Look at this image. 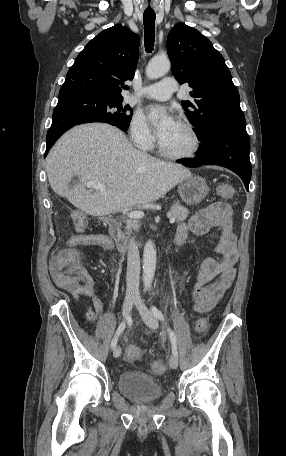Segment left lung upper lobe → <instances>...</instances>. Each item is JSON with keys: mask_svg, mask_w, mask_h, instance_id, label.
Listing matches in <instances>:
<instances>
[{"mask_svg": "<svg viewBox=\"0 0 286 456\" xmlns=\"http://www.w3.org/2000/svg\"><path fill=\"white\" fill-rule=\"evenodd\" d=\"M167 52L172 73L193 89V101L181 104L196 127L198 139L218 129L246 131L240 96L223 56L196 29L176 24L168 34Z\"/></svg>", "mask_w": 286, "mask_h": 456, "instance_id": "left-lung-upper-lobe-1", "label": "left lung upper lobe"}]
</instances>
